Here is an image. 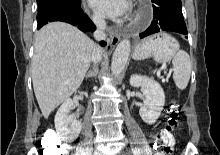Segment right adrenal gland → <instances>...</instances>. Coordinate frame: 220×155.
Wrapping results in <instances>:
<instances>
[{"label": "right adrenal gland", "mask_w": 220, "mask_h": 155, "mask_svg": "<svg viewBox=\"0 0 220 155\" xmlns=\"http://www.w3.org/2000/svg\"><path fill=\"white\" fill-rule=\"evenodd\" d=\"M97 71H98V69H97V67H95L92 71L88 72V74L85 76V78L88 79V78H92V77L96 76Z\"/></svg>", "instance_id": "right-adrenal-gland-1"}]
</instances>
